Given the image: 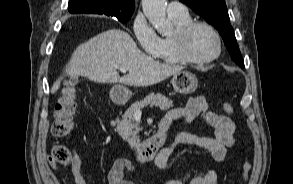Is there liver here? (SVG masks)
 Listing matches in <instances>:
<instances>
[{"label": "liver", "instance_id": "liver-1", "mask_svg": "<svg viewBox=\"0 0 293 184\" xmlns=\"http://www.w3.org/2000/svg\"><path fill=\"white\" fill-rule=\"evenodd\" d=\"M129 73L119 76L117 69ZM183 70V66L162 64L142 53L132 37L120 29H110L79 45L67 65L66 75L85 76L98 83H122L149 86L159 83ZM63 77L51 88L55 93Z\"/></svg>", "mask_w": 293, "mask_h": 184}]
</instances>
